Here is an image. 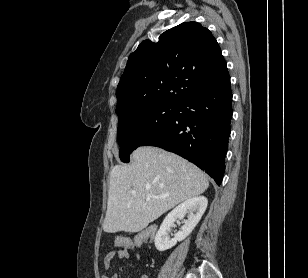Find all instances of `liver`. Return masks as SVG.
<instances>
[{"label":"liver","mask_w":308,"mask_h":278,"mask_svg":"<svg viewBox=\"0 0 308 278\" xmlns=\"http://www.w3.org/2000/svg\"><path fill=\"white\" fill-rule=\"evenodd\" d=\"M131 159V164L115 165L110 172L103 223L107 233L139 232L179 203L204 193L209 186L198 167L161 148L139 147ZM147 194L166 197L152 198Z\"/></svg>","instance_id":"obj_1"}]
</instances>
